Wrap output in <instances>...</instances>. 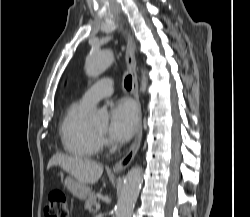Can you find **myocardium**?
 Wrapping results in <instances>:
<instances>
[{
    "mask_svg": "<svg viewBox=\"0 0 250 217\" xmlns=\"http://www.w3.org/2000/svg\"><path fill=\"white\" fill-rule=\"evenodd\" d=\"M92 131L98 137V139H102L104 137V134L97 132L93 127H92Z\"/></svg>",
    "mask_w": 250,
    "mask_h": 217,
    "instance_id": "f54148a6",
    "label": "myocardium"
}]
</instances>
